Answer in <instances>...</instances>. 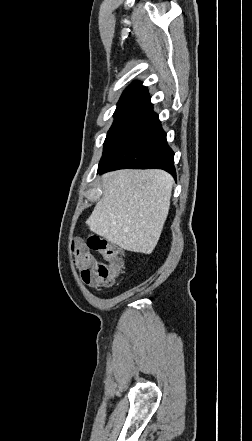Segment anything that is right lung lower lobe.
Masks as SVG:
<instances>
[{
  "label": "right lung lower lobe",
  "mask_w": 252,
  "mask_h": 441,
  "mask_svg": "<svg viewBox=\"0 0 252 441\" xmlns=\"http://www.w3.org/2000/svg\"><path fill=\"white\" fill-rule=\"evenodd\" d=\"M124 168L163 169L176 178L174 153L150 102L124 143L108 162L99 165L98 172Z\"/></svg>",
  "instance_id": "1"
}]
</instances>
